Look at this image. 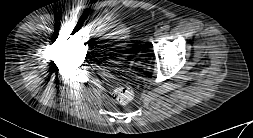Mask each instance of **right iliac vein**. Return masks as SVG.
Wrapping results in <instances>:
<instances>
[{"mask_svg": "<svg viewBox=\"0 0 253 138\" xmlns=\"http://www.w3.org/2000/svg\"><path fill=\"white\" fill-rule=\"evenodd\" d=\"M74 32H75L76 34H80V33H81V28H80L79 26H76V27L74 28Z\"/></svg>", "mask_w": 253, "mask_h": 138, "instance_id": "right-iliac-vein-1", "label": "right iliac vein"}]
</instances>
